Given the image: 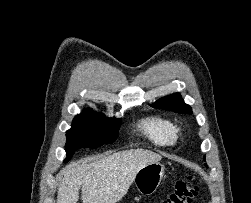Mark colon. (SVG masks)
I'll use <instances>...</instances> for the list:
<instances>
[{
	"instance_id": "colon-1",
	"label": "colon",
	"mask_w": 251,
	"mask_h": 203,
	"mask_svg": "<svg viewBox=\"0 0 251 203\" xmlns=\"http://www.w3.org/2000/svg\"><path fill=\"white\" fill-rule=\"evenodd\" d=\"M199 181L190 173L175 184L174 191L161 203H192L199 194Z\"/></svg>"
}]
</instances>
